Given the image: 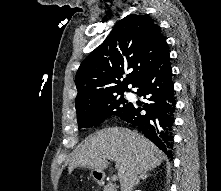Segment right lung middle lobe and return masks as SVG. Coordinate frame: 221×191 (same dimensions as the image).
<instances>
[{
  "mask_svg": "<svg viewBox=\"0 0 221 191\" xmlns=\"http://www.w3.org/2000/svg\"><path fill=\"white\" fill-rule=\"evenodd\" d=\"M131 107L132 103L125 100L123 94L106 99L77 113L79 128L98 125L111 115L123 118L130 111Z\"/></svg>",
  "mask_w": 221,
  "mask_h": 191,
  "instance_id": "obj_1",
  "label": "right lung middle lobe"
}]
</instances>
